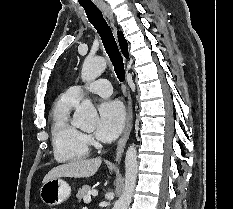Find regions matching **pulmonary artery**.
Segmentation results:
<instances>
[{"label": "pulmonary artery", "instance_id": "obj_1", "mask_svg": "<svg viewBox=\"0 0 233 209\" xmlns=\"http://www.w3.org/2000/svg\"><path fill=\"white\" fill-rule=\"evenodd\" d=\"M67 93L75 100H81L86 93L97 94L107 97L112 94L111 83L107 79H97L85 86H73L68 89Z\"/></svg>", "mask_w": 233, "mask_h": 209}]
</instances>
